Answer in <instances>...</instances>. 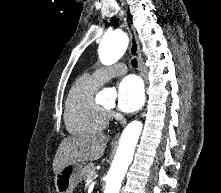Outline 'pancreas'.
Returning a JSON list of instances; mask_svg holds the SVG:
<instances>
[{
    "mask_svg": "<svg viewBox=\"0 0 221 193\" xmlns=\"http://www.w3.org/2000/svg\"><path fill=\"white\" fill-rule=\"evenodd\" d=\"M96 173L95 164L89 163L83 168V178L85 182L91 180Z\"/></svg>",
    "mask_w": 221,
    "mask_h": 193,
    "instance_id": "obj_1",
    "label": "pancreas"
}]
</instances>
